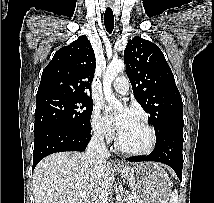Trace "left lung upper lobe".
<instances>
[{
	"instance_id": "left-lung-upper-lobe-1",
	"label": "left lung upper lobe",
	"mask_w": 214,
	"mask_h": 203,
	"mask_svg": "<svg viewBox=\"0 0 214 203\" xmlns=\"http://www.w3.org/2000/svg\"><path fill=\"white\" fill-rule=\"evenodd\" d=\"M124 59L134 97L149 114L156 138L171 127H183L182 98L160 48L136 36L128 41Z\"/></svg>"
}]
</instances>
